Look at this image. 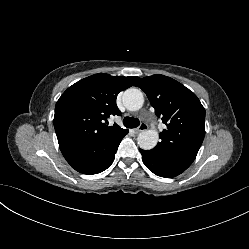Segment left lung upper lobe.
I'll use <instances>...</instances> for the list:
<instances>
[{
  "instance_id": "left-lung-upper-lobe-1",
  "label": "left lung upper lobe",
  "mask_w": 249,
  "mask_h": 249,
  "mask_svg": "<svg viewBox=\"0 0 249 249\" xmlns=\"http://www.w3.org/2000/svg\"><path fill=\"white\" fill-rule=\"evenodd\" d=\"M135 86L146 93L155 114L167 126L152 151L194 160L205 135V109L198 97L176 80L159 74L139 79Z\"/></svg>"
}]
</instances>
